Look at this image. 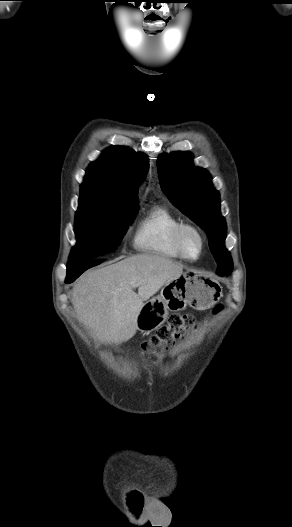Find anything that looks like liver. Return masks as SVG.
<instances>
[{"mask_svg":"<svg viewBox=\"0 0 292 527\" xmlns=\"http://www.w3.org/2000/svg\"><path fill=\"white\" fill-rule=\"evenodd\" d=\"M182 274V264L163 256L133 255L81 276L73 286L72 304L78 320L99 341L120 344L136 334L144 301Z\"/></svg>","mask_w":292,"mask_h":527,"instance_id":"6515ba94","label":"liver"}]
</instances>
